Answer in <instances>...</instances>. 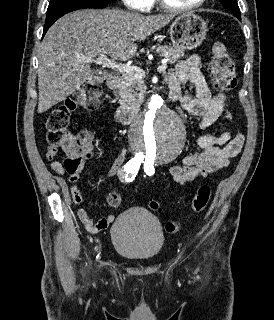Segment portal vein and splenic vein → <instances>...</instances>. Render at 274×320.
<instances>
[{
    "label": "portal vein and splenic vein",
    "mask_w": 274,
    "mask_h": 320,
    "mask_svg": "<svg viewBox=\"0 0 274 320\" xmlns=\"http://www.w3.org/2000/svg\"><path fill=\"white\" fill-rule=\"evenodd\" d=\"M80 62H93V64H98V66H102V68H111V70H115V72H120V74H130L132 78H142L145 76L144 70L141 68H136V66H128V64H119V62H115V60H109L106 54H100L97 58H81ZM168 60H162L161 70H166Z\"/></svg>",
    "instance_id": "portal-vein-and-splenic-vein-1"
}]
</instances>
